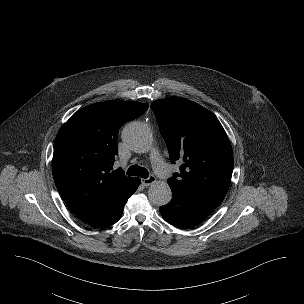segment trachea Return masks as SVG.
Returning a JSON list of instances; mask_svg holds the SVG:
<instances>
[{"instance_id": "trachea-1", "label": "trachea", "mask_w": 304, "mask_h": 304, "mask_svg": "<svg viewBox=\"0 0 304 304\" xmlns=\"http://www.w3.org/2000/svg\"><path fill=\"white\" fill-rule=\"evenodd\" d=\"M127 175L130 176H139L141 178H148V170L144 167H140L138 165H132L127 170Z\"/></svg>"}]
</instances>
